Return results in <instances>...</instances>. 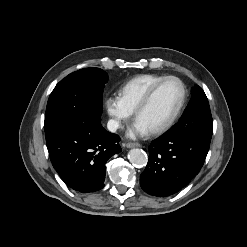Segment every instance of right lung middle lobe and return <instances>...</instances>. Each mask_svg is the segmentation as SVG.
<instances>
[{
    "label": "right lung middle lobe",
    "instance_id": "right-lung-middle-lobe-1",
    "mask_svg": "<svg viewBox=\"0 0 247 247\" xmlns=\"http://www.w3.org/2000/svg\"><path fill=\"white\" fill-rule=\"evenodd\" d=\"M107 81L108 75L99 68L81 69L61 80L49 96L45 134L80 123L100 122Z\"/></svg>",
    "mask_w": 247,
    "mask_h": 247
}]
</instances>
